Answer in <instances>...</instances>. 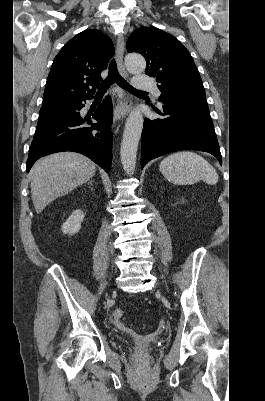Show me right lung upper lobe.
Masks as SVG:
<instances>
[{
    "label": "right lung upper lobe",
    "mask_w": 265,
    "mask_h": 401,
    "mask_svg": "<svg viewBox=\"0 0 265 401\" xmlns=\"http://www.w3.org/2000/svg\"><path fill=\"white\" fill-rule=\"evenodd\" d=\"M113 54L111 39L101 31L88 29L76 35L53 61L42 105L93 97L96 85L102 81L100 73Z\"/></svg>",
    "instance_id": "obj_1"
}]
</instances>
